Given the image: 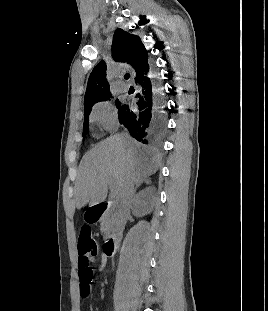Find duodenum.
Masks as SVG:
<instances>
[{"instance_id":"410a0bca","label":"duodenum","mask_w":268,"mask_h":311,"mask_svg":"<svg viewBox=\"0 0 268 311\" xmlns=\"http://www.w3.org/2000/svg\"><path fill=\"white\" fill-rule=\"evenodd\" d=\"M109 208V202H101L93 205L88 212L89 219L92 223L99 222L102 217L105 215ZM119 246V239L116 235H111L107 238V240L104 243V253L107 256H112L116 253L117 248Z\"/></svg>"}]
</instances>
